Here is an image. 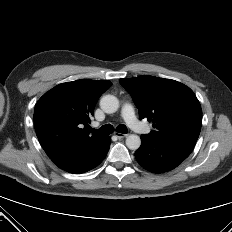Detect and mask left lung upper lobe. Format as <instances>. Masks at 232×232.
Listing matches in <instances>:
<instances>
[{
  "label": "left lung upper lobe",
  "instance_id": "left-lung-upper-lobe-1",
  "mask_svg": "<svg viewBox=\"0 0 232 232\" xmlns=\"http://www.w3.org/2000/svg\"><path fill=\"white\" fill-rule=\"evenodd\" d=\"M119 82L131 94L140 117L153 123L155 130L148 136L197 141L202 110L190 88L175 80L147 75L123 78Z\"/></svg>",
  "mask_w": 232,
  "mask_h": 232
}]
</instances>
